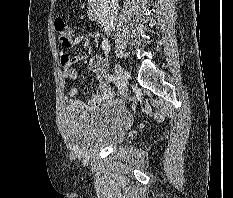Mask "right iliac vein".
<instances>
[{
  "instance_id": "obj_1",
  "label": "right iliac vein",
  "mask_w": 233,
  "mask_h": 198,
  "mask_svg": "<svg viewBox=\"0 0 233 198\" xmlns=\"http://www.w3.org/2000/svg\"><path fill=\"white\" fill-rule=\"evenodd\" d=\"M115 73L117 78V85L120 91V94H125L128 87V73L118 64L115 66Z\"/></svg>"
}]
</instances>
